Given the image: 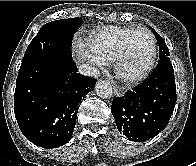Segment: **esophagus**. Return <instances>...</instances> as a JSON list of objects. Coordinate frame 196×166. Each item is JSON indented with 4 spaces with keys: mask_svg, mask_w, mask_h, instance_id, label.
<instances>
[{
    "mask_svg": "<svg viewBox=\"0 0 196 166\" xmlns=\"http://www.w3.org/2000/svg\"><path fill=\"white\" fill-rule=\"evenodd\" d=\"M114 93L115 95L121 97L124 95V89L121 87H114Z\"/></svg>",
    "mask_w": 196,
    "mask_h": 166,
    "instance_id": "34e87169",
    "label": "esophagus"
}]
</instances>
